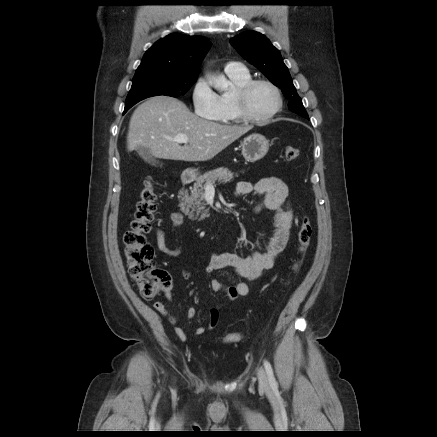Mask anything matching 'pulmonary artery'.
<instances>
[{
  "label": "pulmonary artery",
  "instance_id": "e3ab8cb5",
  "mask_svg": "<svg viewBox=\"0 0 437 437\" xmlns=\"http://www.w3.org/2000/svg\"><path fill=\"white\" fill-rule=\"evenodd\" d=\"M244 69V66L239 62H229L225 66V72H236Z\"/></svg>",
  "mask_w": 437,
  "mask_h": 437
}]
</instances>
